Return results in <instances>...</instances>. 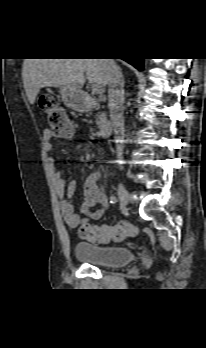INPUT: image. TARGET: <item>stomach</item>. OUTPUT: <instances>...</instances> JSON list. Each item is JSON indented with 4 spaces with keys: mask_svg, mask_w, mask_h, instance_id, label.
<instances>
[{
    "mask_svg": "<svg viewBox=\"0 0 206 348\" xmlns=\"http://www.w3.org/2000/svg\"><path fill=\"white\" fill-rule=\"evenodd\" d=\"M60 94L65 104L71 109L83 112L87 107L86 98L83 92L73 91L68 88H60Z\"/></svg>",
    "mask_w": 206,
    "mask_h": 348,
    "instance_id": "stomach-1",
    "label": "stomach"
}]
</instances>
